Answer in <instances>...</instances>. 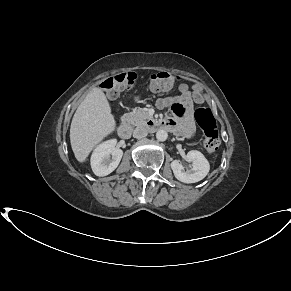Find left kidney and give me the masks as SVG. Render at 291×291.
Returning a JSON list of instances; mask_svg holds the SVG:
<instances>
[{"instance_id": "obj_1", "label": "left kidney", "mask_w": 291, "mask_h": 291, "mask_svg": "<svg viewBox=\"0 0 291 291\" xmlns=\"http://www.w3.org/2000/svg\"><path fill=\"white\" fill-rule=\"evenodd\" d=\"M186 160L192 163L191 169H185L179 160L171 162L174 176L183 183H196L209 172L210 165L204 155L196 150L189 151Z\"/></svg>"}]
</instances>
